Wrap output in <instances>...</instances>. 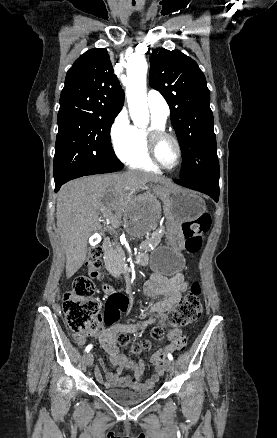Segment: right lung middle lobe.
I'll use <instances>...</instances> for the list:
<instances>
[{
  "label": "right lung middle lobe",
  "instance_id": "1",
  "mask_svg": "<svg viewBox=\"0 0 277 438\" xmlns=\"http://www.w3.org/2000/svg\"><path fill=\"white\" fill-rule=\"evenodd\" d=\"M113 121L114 118L92 116L58 117L55 182L80 173L123 168L111 145L110 128Z\"/></svg>",
  "mask_w": 277,
  "mask_h": 438
}]
</instances>
